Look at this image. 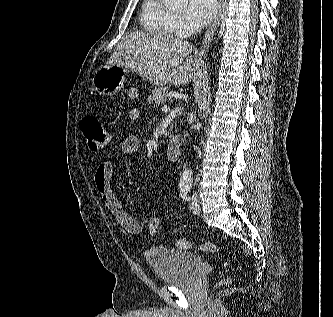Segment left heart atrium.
<instances>
[{"instance_id": "39dd6f15", "label": "left heart atrium", "mask_w": 333, "mask_h": 317, "mask_svg": "<svg viewBox=\"0 0 333 317\" xmlns=\"http://www.w3.org/2000/svg\"><path fill=\"white\" fill-rule=\"evenodd\" d=\"M217 8V0H189L187 17L195 26H202L214 17Z\"/></svg>"}]
</instances>
